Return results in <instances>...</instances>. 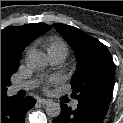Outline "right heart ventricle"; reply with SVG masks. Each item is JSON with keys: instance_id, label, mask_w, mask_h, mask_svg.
I'll return each mask as SVG.
<instances>
[{"instance_id": "1", "label": "right heart ventricle", "mask_w": 123, "mask_h": 123, "mask_svg": "<svg viewBox=\"0 0 123 123\" xmlns=\"http://www.w3.org/2000/svg\"><path fill=\"white\" fill-rule=\"evenodd\" d=\"M58 50L68 52L67 44L60 38H51L48 41V52L51 53Z\"/></svg>"}]
</instances>
